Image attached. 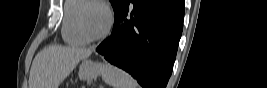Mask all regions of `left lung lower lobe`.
I'll list each match as a JSON object with an SVG mask.
<instances>
[{
  "label": "left lung lower lobe",
  "instance_id": "left-lung-lower-lobe-1",
  "mask_svg": "<svg viewBox=\"0 0 267 88\" xmlns=\"http://www.w3.org/2000/svg\"><path fill=\"white\" fill-rule=\"evenodd\" d=\"M183 15L180 0H126L115 15L110 37L96 51L129 72L144 88H166Z\"/></svg>",
  "mask_w": 267,
  "mask_h": 88
}]
</instances>
